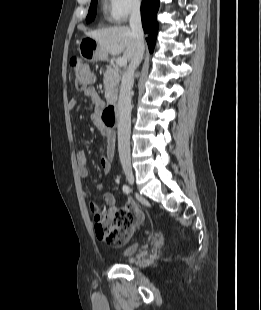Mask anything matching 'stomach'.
<instances>
[{
    "instance_id": "1",
    "label": "stomach",
    "mask_w": 261,
    "mask_h": 310,
    "mask_svg": "<svg viewBox=\"0 0 261 310\" xmlns=\"http://www.w3.org/2000/svg\"><path fill=\"white\" fill-rule=\"evenodd\" d=\"M79 52L87 61L95 62L104 58L98 42L92 38H85L79 44Z\"/></svg>"
}]
</instances>
